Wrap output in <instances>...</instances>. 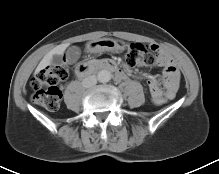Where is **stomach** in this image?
<instances>
[{
    "label": "stomach",
    "mask_w": 219,
    "mask_h": 174,
    "mask_svg": "<svg viewBox=\"0 0 219 174\" xmlns=\"http://www.w3.org/2000/svg\"><path fill=\"white\" fill-rule=\"evenodd\" d=\"M124 47L125 43L123 41L108 38L95 40L88 44L90 52L122 50Z\"/></svg>",
    "instance_id": "1"
}]
</instances>
